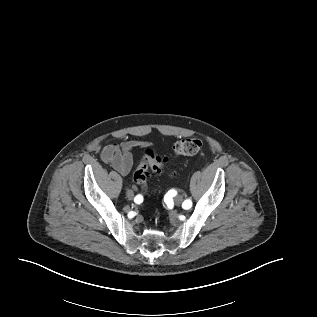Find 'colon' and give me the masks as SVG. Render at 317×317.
I'll return each instance as SVG.
<instances>
[{"mask_svg":"<svg viewBox=\"0 0 317 317\" xmlns=\"http://www.w3.org/2000/svg\"><path fill=\"white\" fill-rule=\"evenodd\" d=\"M201 148V141L198 138H186L177 141L173 146V151L177 155H194ZM165 161L162 157L155 154L152 150L144 151L141 162L133 175L135 183L143 188H146L148 170L151 169L154 173L164 171Z\"/></svg>","mask_w":317,"mask_h":317,"instance_id":"1","label":"colon"}]
</instances>
